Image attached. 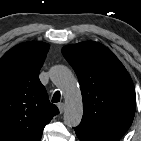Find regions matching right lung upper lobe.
Listing matches in <instances>:
<instances>
[{"label":"right lung upper lobe","mask_w":141,"mask_h":141,"mask_svg":"<svg viewBox=\"0 0 141 141\" xmlns=\"http://www.w3.org/2000/svg\"><path fill=\"white\" fill-rule=\"evenodd\" d=\"M48 50L47 43L29 41L0 58V141H40L59 113L38 77Z\"/></svg>","instance_id":"cb5924a9"}]
</instances>
